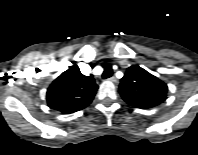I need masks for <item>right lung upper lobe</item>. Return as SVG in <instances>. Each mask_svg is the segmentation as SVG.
<instances>
[{"label":"right lung upper lobe","instance_id":"right-lung-upper-lobe-1","mask_svg":"<svg viewBox=\"0 0 198 155\" xmlns=\"http://www.w3.org/2000/svg\"><path fill=\"white\" fill-rule=\"evenodd\" d=\"M97 89L92 76H85L77 66H72L50 85L47 103L50 108L61 113H73L88 106Z\"/></svg>","mask_w":198,"mask_h":155}]
</instances>
